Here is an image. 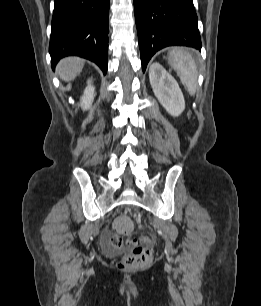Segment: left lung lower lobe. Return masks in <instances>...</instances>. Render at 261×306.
<instances>
[{
    "mask_svg": "<svg viewBox=\"0 0 261 306\" xmlns=\"http://www.w3.org/2000/svg\"><path fill=\"white\" fill-rule=\"evenodd\" d=\"M134 9L143 71L164 47L201 49L193 0H134Z\"/></svg>",
    "mask_w": 261,
    "mask_h": 306,
    "instance_id": "0a47b994",
    "label": "left lung lower lobe"
}]
</instances>
